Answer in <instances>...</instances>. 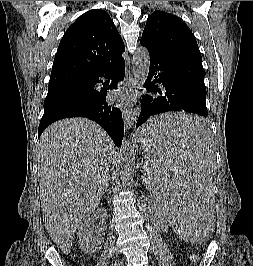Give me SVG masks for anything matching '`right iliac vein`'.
<instances>
[{"label":"right iliac vein","mask_w":253,"mask_h":266,"mask_svg":"<svg viewBox=\"0 0 253 266\" xmlns=\"http://www.w3.org/2000/svg\"><path fill=\"white\" fill-rule=\"evenodd\" d=\"M112 266H123V261L121 259H117Z\"/></svg>","instance_id":"obj_1"}]
</instances>
